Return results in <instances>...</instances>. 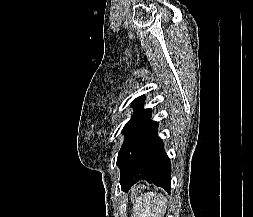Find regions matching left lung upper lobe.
<instances>
[{"instance_id": "1", "label": "left lung upper lobe", "mask_w": 253, "mask_h": 217, "mask_svg": "<svg viewBox=\"0 0 253 217\" xmlns=\"http://www.w3.org/2000/svg\"><path fill=\"white\" fill-rule=\"evenodd\" d=\"M144 101V96L136 98L133 102L132 105L135 108L136 111L133 117L127 122V124L124 126L122 133L127 134L128 131L132 128V126L142 117L144 116L150 109H143L142 108V103Z\"/></svg>"}]
</instances>
